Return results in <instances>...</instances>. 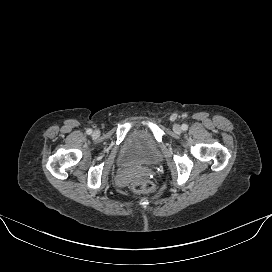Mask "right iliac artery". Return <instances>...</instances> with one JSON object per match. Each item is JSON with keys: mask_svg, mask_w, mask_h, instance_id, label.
<instances>
[{"mask_svg": "<svg viewBox=\"0 0 272 272\" xmlns=\"http://www.w3.org/2000/svg\"><path fill=\"white\" fill-rule=\"evenodd\" d=\"M86 133L90 135L92 133V130L91 129H87Z\"/></svg>", "mask_w": 272, "mask_h": 272, "instance_id": "right-iliac-artery-1", "label": "right iliac artery"}]
</instances>
